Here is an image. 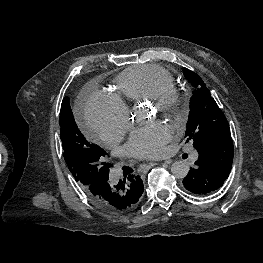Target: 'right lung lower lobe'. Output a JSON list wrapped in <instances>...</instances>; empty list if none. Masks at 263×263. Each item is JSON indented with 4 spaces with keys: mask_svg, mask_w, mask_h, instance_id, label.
<instances>
[{
    "mask_svg": "<svg viewBox=\"0 0 263 263\" xmlns=\"http://www.w3.org/2000/svg\"><path fill=\"white\" fill-rule=\"evenodd\" d=\"M108 179L90 184L84 190L92 204L111 213L130 201V192L135 186L143 185L140 176L136 175H129L127 179L120 180L116 185H112Z\"/></svg>",
    "mask_w": 263,
    "mask_h": 263,
    "instance_id": "obj_1",
    "label": "right lung lower lobe"
}]
</instances>
